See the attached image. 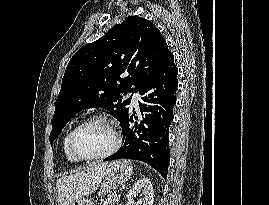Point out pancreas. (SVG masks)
Returning <instances> with one entry per match:
<instances>
[{
  "mask_svg": "<svg viewBox=\"0 0 269 205\" xmlns=\"http://www.w3.org/2000/svg\"><path fill=\"white\" fill-rule=\"evenodd\" d=\"M119 198L115 195H112L109 200L103 202L100 205H118Z\"/></svg>",
  "mask_w": 269,
  "mask_h": 205,
  "instance_id": "cf45deb5",
  "label": "pancreas"
}]
</instances>
